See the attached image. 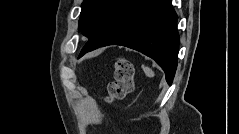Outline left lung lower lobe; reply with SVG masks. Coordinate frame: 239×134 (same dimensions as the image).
<instances>
[{"mask_svg":"<svg viewBox=\"0 0 239 134\" xmlns=\"http://www.w3.org/2000/svg\"><path fill=\"white\" fill-rule=\"evenodd\" d=\"M171 0H124L106 25L89 38L79 57L107 45H121L154 59L172 83L178 59L177 14Z\"/></svg>","mask_w":239,"mask_h":134,"instance_id":"0a47b994","label":"left lung lower lobe"}]
</instances>
